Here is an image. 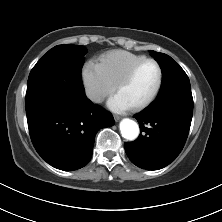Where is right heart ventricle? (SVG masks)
Returning a JSON list of instances; mask_svg holds the SVG:
<instances>
[{"label":"right heart ventricle","instance_id":"obj_1","mask_svg":"<svg viewBox=\"0 0 222 222\" xmlns=\"http://www.w3.org/2000/svg\"><path fill=\"white\" fill-rule=\"evenodd\" d=\"M146 59L143 55L125 50H114L101 56L98 65L104 75L114 84L137 62Z\"/></svg>","mask_w":222,"mask_h":222}]
</instances>
